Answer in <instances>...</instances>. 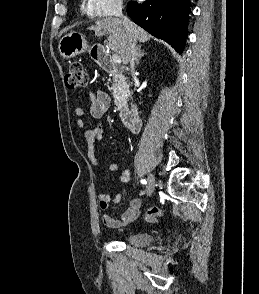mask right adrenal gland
Masks as SVG:
<instances>
[{"instance_id": "right-adrenal-gland-1", "label": "right adrenal gland", "mask_w": 259, "mask_h": 294, "mask_svg": "<svg viewBox=\"0 0 259 294\" xmlns=\"http://www.w3.org/2000/svg\"><path fill=\"white\" fill-rule=\"evenodd\" d=\"M145 55L144 51L141 50V46L137 47V54H136V65L139 64L140 59Z\"/></svg>"}]
</instances>
